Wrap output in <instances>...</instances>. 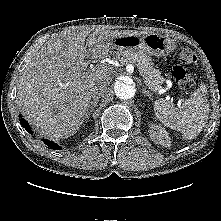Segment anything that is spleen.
Masks as SVG:
<instances>
[{"label": "spleen", "mask_w": 221, "mask_h": 221, "mask_svg": "<svg viewBox=\"0 0 221 221\" xmlns=\"http://www.w3.org/2000/svg\"><path fill=\"white\" fill-rule=\"evenodd\" d=\"M207 88L201 85L181 107L157 100L154 104L156 117L167 127L182 133L186 139H193L206 125L209 113Z\"/></svg>", "instance_id": "3e777b00"}]
</instances>
